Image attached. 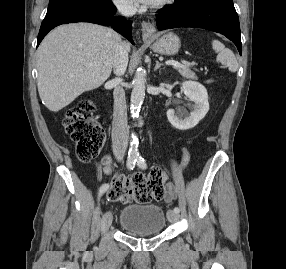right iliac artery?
<instances>
[{
	"instance_id": "82829eb1",
	"label": "right iliac artery",
	"mask_w": 286,
	"mask_h": 269,
	"mask_svg": "<svg viewBox=\"0 0 286 269\" xmlns=\"http://www.w3.org/2000/svg\"><path fill=\"white\" fill-rule=\"evenodd\" d=\"M135 158H128L127 159V167L128 169L132 170L135 167ZM109 188V184L105 183L100 187V191H99V197L105 192L107 191V189Z\"/></svg>"
}]
</instances>
